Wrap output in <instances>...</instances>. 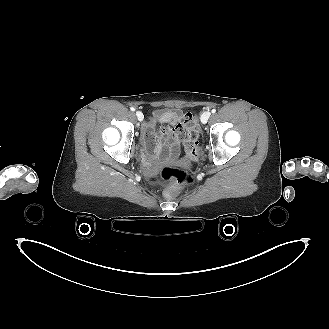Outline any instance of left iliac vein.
<instances>
[{
	"label": "left iliac vein",
	"instance_id": "obj_1",
	"mask_svg": "<svg viewBox=\"0 0 329 329\" xmlns=\"http://www.w3.org/2000/svg\"><path fill=\"white\" fill-rule=\"evenodd\" d=\"M210 112H208V111H206V112H204L202 115H201V122L203 123V124H206L207 123V121H208V119H209V117H210Z\"/></svg>",
	"mask_w": 329,
	"mask_h": 329
}]
</instances>
